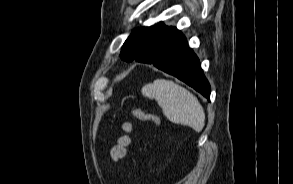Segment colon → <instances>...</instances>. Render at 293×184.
<instances>
[{"instance_id":"1","label":"colon","mask_w":293,"mask_h":184,"mask_svg":"<svg viewBox=\"0 0 293 184\" xmlns=\"http://www.w3.org/2000/svg\"><path fill=\"white\" fill-rule=\"evenodd\" d=\"M131 114L141 120V121H149L153 122L156 126L160 125V119L158 116L151 114V113H146L142 111L141 109L138 108H131Z\"/></svg>"}]
</instances>
